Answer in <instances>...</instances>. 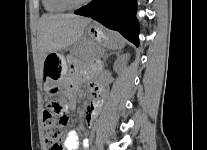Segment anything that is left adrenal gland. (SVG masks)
I'll list each match as a JSON object with an SVG mask.
<instances>
[{"label": "left adrenal gland", "mask_w": 207, "mask_h": 150, "mask_svg": "<svg viewBox=\"0 0 207 150\" xmlns=\"http://www.w3.org/2000/svg\"><path fill=\"white\" fill-rule=\"evenodd\" d=\"M112 54H117V55H118L119 52H110V53H106V54H104V56H103V63H106L108 57H109L110 55H112Z\"/></svg>", "instance_id": "obj_1"}]
</instances>
